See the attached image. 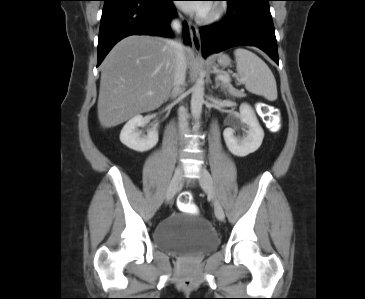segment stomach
Instances as JSON below:
<instances>
[{"label": "stomach", "instance_id": "stomach-1", "mask_svg": "<svg viewBox=\"0 0 365 299\" xmlns=\"http://www.w3.org/2000/svg\"><path fill=\"white\" fill-rule=\"evenodd\" d=\"M217 62H218V65L225 68L230 65L231 60L228 55L221 54L218 56Z\"/></svg>", "mask_w": 365, "mask_h": 299}]
</instances>
